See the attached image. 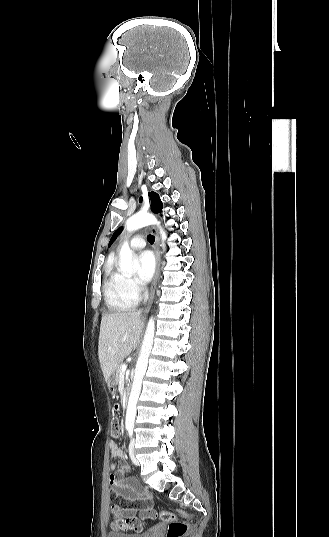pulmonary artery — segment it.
<instances>
[{"label":"pulmonary artery","instance_id":"obj_1","mask_svg":"<svg viewBox=\"0 0 329 537\" xmlns=\"http://www.w3.org/2000/svg\"><path fill=\"white\" fill-rule=\"evenodd\" d=\"M146 245V242L144 241V239L137 235L135 237H133L130 241V247L132 249H135V250H139V249H142L144 248Z\"/></svg>","mask_w":329,"mask_h":537}]
</instances>
